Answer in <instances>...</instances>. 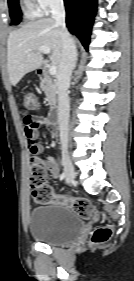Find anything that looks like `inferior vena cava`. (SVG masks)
Segmentation results:
<instances>
[{
	"mask_svg": "<svg viewBox=\"0 0 134 281\" xmlns=\"http://www.w3.org/2000/svg\"><path fill=\"white\" fill-rule=\"evenodd\" d=\"M51 13L52 19L60 28L62 42V57L57 74L58 125L60 143L63 147H67L70 111L68 89L70 85V77L76 65L77 51L74 40L66 28L63 0H53L51 4Z\"/></svg>",
	"mask_w": 134,
	"mask_h": 281,
	"instance_id": "602c4592",
	"label": "inferior vena cava"
}]
</instances>
